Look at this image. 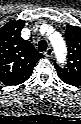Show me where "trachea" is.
<instances>
[{
    "instance_id": "3493384b",
    "label": "trachea",
    "mask_w": 81,
    "mask_h": 124,
    "mask_svg": "<svg viewBox=\"0 0 81 124\" xmlns=\"http://www.w3.org/2000/svg\"><path fill=\"white\" fill-rule=\"evenodd\" d=\"M47 49V42L45 40H41L38 42V50L40 52H44Z\"/></svg>"
}]
</instances>
